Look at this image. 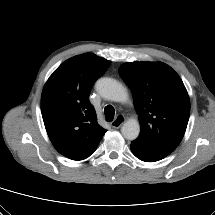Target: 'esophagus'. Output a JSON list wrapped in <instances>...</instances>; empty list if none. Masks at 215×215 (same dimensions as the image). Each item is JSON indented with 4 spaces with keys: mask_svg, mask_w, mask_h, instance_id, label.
<instances>
[{
    "mask_svg": "<svg viewBox=\"0 0 215 215\" xmlns=\"http://www.w3.org/2000/svg\"><path fill=\"white\" fill-rule=\"evenodd\" d=\"M125 122V117L123 115H118L115 120L111 122L113 128H120Z\"/></svg>",
    "mask_w": 215,
    "mask_h": 215,
    "instance_id": "1",
    "label": "esophagus"
}]
</instances>
